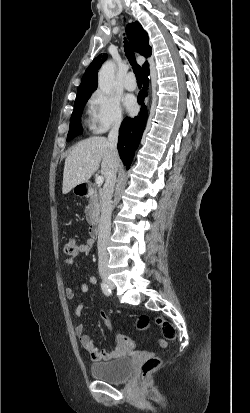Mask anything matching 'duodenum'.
Instances as JSON below:
<instances>
[{
    "label": "duodenum",
    "mask_w": 250,
    "mask_h": 413,
    "mask_svg": "<svg viewBox=\"0 0 250 413\" xmlns=\"http://www.w3.org/2000/svg\"><path fill=\"white\" fill-rule=\"evenodd\" d=\"M89 191H90L89 184H82L80 186V195L88 196ZM89 232H90L91 237L97 238L100 233V222L97 220L93 221L90 225Z\"/></svg>",
    "instance_id": "duodenum-1"
}]
</instances>
